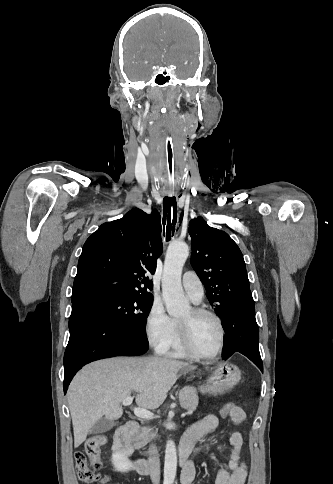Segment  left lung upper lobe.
<instances>
[{"mask_svg":"<svg viewBox=\"0 0 333 484\" xmlns=\"http://www.w3.org/2000/svg\"><path fill=\"white\" fill-rule=\"evenodd\" d=\"M189 234L192 238L191 264L222 318L230 302L250 291L242 252L227 233L208 226L201 217L190 221Z\"/></svg>","mask_w":333,"mask_h":484,"instance_id":"left-lung-upper-lobe-1","label":"left lung upper lobe"}]
</instances>
